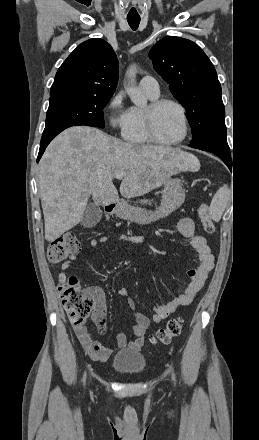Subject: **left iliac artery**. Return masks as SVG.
I'll use <instances>...</instances> for the list:
<instances>
[{
    "label": "left iliac artery",
    "mask_w": 259,
    "mask_h": 440,
    "mask_svg": "<svg viewBox=\"0 0 259 440\" xmlns=\"http://www.w3.org/2000/svg\"><path fill=\"white\" fill-rule=\"evenodd\" d=\"M172 378H173L174 381L176 380V377H175L174 373H172Z\"/></svg>",
    "instance_id": "left-iliac-artery-1"
}]
</instances>
